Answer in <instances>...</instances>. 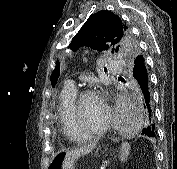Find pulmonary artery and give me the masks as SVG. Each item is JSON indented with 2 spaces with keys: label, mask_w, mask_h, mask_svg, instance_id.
Masks as SVG:
<instances>
[{
  "label": "pulmonary artery",
  "mask_w": 177,
  "mask_h": 169,
  "mask_svg": "<svg viewBox=\"0 0 177 169\" xmlns=\"http://www.w3.org/2000/svg\"><path fill=\"white\" fill-rule=\"evenodd\" d=\"M109 67H112L113 66V63L112 62H108L107 63ZM66 86L71 88V89H76V85H75V81L74 80H68L66 82Z\"/></svg>",
  "instance_id": "pulmonary-artery-1"
}]
</instances>
